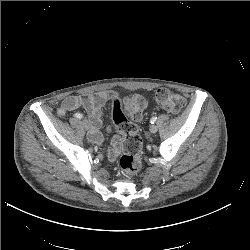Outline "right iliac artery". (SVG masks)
Wrapping results in <instances>:
<instances>
[{"label":"right iliac artery","instance_id":"1","mask_svg":"<svg viewBox=\"0 0 250 250\" xmlns=\"http://www.w3.org/2000/svg\"><path fill=\"white\" fill-rule=\"evenodd\" d=\"M74 117L77 118V119H81V118H83V115L79 114V113H76V114H74Z\"/></svg>","mask_w":250,"mask_h":250}]
</instances>
